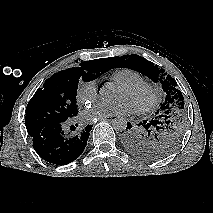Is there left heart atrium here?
Wrapping results in <instances>:
<instances>
[{
    "instance_id": "left-heart-atrium-1",
    "label": "left heart atrium",
    "mask_w": 213,
    "mask_h": 213,
    "mask_svg": "<svg viewBox=\"0 0 213 213\" xmlns=\"http://www.w3.org/2000/svg\"><path fill=\"white\" fill-rule=\"evenodd\" d=\"M133 108L125 101L118 102L114 105L98 103L94 106L87 108L84 113L86 121H95L111 116H125L132 113Z\"/></svg>"
}]
</instances>
